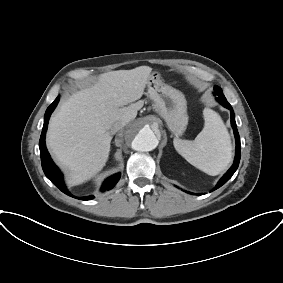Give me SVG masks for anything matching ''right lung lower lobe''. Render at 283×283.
Masks as SVG:
<instances>
[{
	"instance_id": "98d812e1",
	"label": "right lung lower lobe",
	"mask_w": 283,
	"mask_h": 283,
	"mask_svg": "<svg viewBox=\"0 0 283 283\" xmlns=\"http://www.w3.org/2000/svg\"><path fill=\"white\" fill-rule=\"evenodd\" d=\"M58 101H59V98H56L55 101L47 108V110L45 112L44 125H43V129H42L41 137H40V140H39L41 164H42V168H43V171H44L46 177L56 187H58L63 193H65L69 196H72L68 192V190L66 189L65 184L63 182L62 174L59 171V169L57 168V166L54 164V162L52 161V159H51V157H50V155H49V153L46 149V146H45V135H46L47 127H48L49 118H50L51 113L55 109ZM119 178H120V174H116V175L109 177L104 182V184L102 186V191H104L106 189L107 190L111 189L117 183ZM92 198H93V196H88V197H82V198H77V199L90 200Z\"/></svg>"
}]
</instances>
